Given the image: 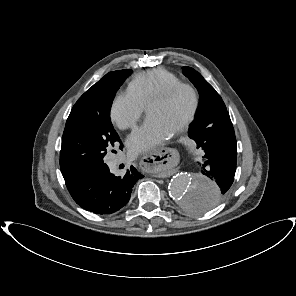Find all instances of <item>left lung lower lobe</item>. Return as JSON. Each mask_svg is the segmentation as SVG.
Instances as JSON below:
<instances>
[{"label": "left lung lower lobe", "instance_id": "1", "mask_svg": "<svg viewBox=\"0 0 296 296\" xmlns=\"http://www.w3.org/2000/svg\"><path fill=\"white\" fill-rule=\"evenodd\" d=\"M201 136L200 148L205 152L201 172L217 183L218 190L196 198L189 207L193 211L208 210L228 194L237 163L236 137L228 112L206 128Z\"/></svg>", "mask_w": 296, "mask_h": 296}]
</instances>
